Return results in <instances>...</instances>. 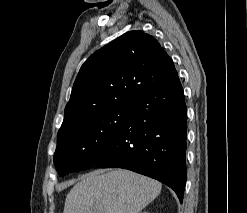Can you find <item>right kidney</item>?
<instances>
[{"label":"right kidney","mask_w":247,"mask_h":213,"mask_svg":"<svg viewBox=\"0 0 247 213\" xmlns=\"http://www.w3.org/2000/svg\"><path fill=\"white\" fill-rule=\"evenodd\" d=\"M141 213H149V212H141Z\"/></svg>","instance_id":"right-kidney-1"}]
</instances>
